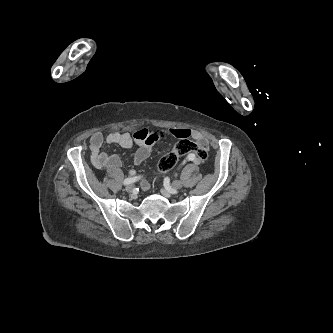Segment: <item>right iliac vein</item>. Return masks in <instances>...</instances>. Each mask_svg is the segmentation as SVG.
<instances>
[{
	"mask_svg": "<svg viewBox=\"0 0 333 333\" xmlns=\"http://www.w3.org/2000/svg\"><path fill=\"white\" fill-rule=\"evenodd\" d=\"M134 190V186L133 185H128L127 187H126V191L127 192H132Z\"/></svg>",
	"mask_w": 333,
	"mask_h": 333,
	"instance_id": "right-iliac-vein-1",
	"label": "right iliac vein"
}]
</instances>
